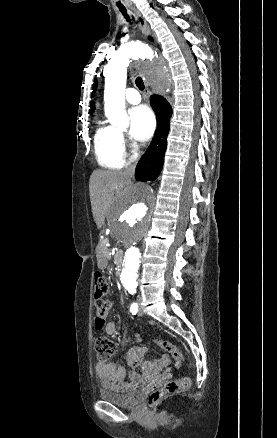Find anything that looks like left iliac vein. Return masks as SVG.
Here are the masks:
<instances>
[{
  "label": "left iliac vein",
  "mask_w": 277,
  "mask_h": 438,
  "mask_svg": "<svg viewBox=\"0 0 277 438\" xmlns=\"http://www.w3.org/2000/svg\"><path fill=\"white\" fill-rule=\"evenodd\" d=\"M138 302H139V305H140V300ZM138 315L139 316L143 315V311H142V308L140 306H139V310H138Z\"/></svg>",
  "instance_id": "4c4485c4"
}]
</instances>
